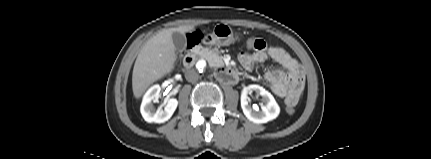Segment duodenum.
<instances>
[{"mask_svg":"<svg viewBox=\"0 0 431 159\" xmlns=\"http://www.w3.org/2000/svg\"><path fill=\"white\" fill-rule=\"evenodd\" d=\"M193 44L194 43H192L191 45ZM195 61H196V52L191 51L185 55L183 63L186 68H190L194 65ZM218 78L224 83L233 84L238 80V73L231 68L222 67L218 71Z\"/></svg>","mask_w":431,"mask_h":159,"instance_id":"obj_1","label":"duodenum"}]
</instances>
